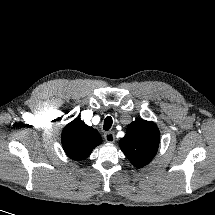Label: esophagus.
<instances>
[{"instance_id": "1", "label": "esophagus", "mask_w": 215, "mask_h": 215, "mask_svg": "<svg viewBox=\"0 0 215 215\" xmlns=\"http://www.w3.org/2000/svg\"><path fill=\"white\" fill-rule=\"evenodd\" d=\"M106 142L113 143L115 141V134L113 132H107L104 134Z\"/></svg>"}]
</instances>
